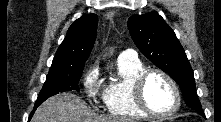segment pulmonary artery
I'll use <instances>...</instances> for the list:
<instances>
[{
    "instance_id": "e3ab8cb5",
    "label": "pulmonary artery",
    "mask_w": 221,
    "mask_h": 122,
    "mask_svg": "<svg viewBox=\"0 0 221 122\" xmlns=\"http://www.w3.org/2000/svg\"><path fill=\"white\" fill-rule=\"evenodd\" d=\"M118 58L119 59L131 60V61L138 60L137 53L134 50H132V49H127V50L122 51L119 54Z\"/></svg>"
}]
</instances>
